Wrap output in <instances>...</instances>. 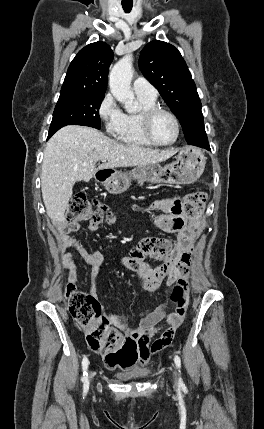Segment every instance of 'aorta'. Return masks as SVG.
Wrapping results in <instances>:
<instances>
[{
	"label": "aorta",
	"instance_id": "aorta-1",
	"mask_svg": "<svg viewBox=\"0 0 264 429\" xmlns=\"http://www.w3.org/2000/svg\"><path fill=\"white\" fill-rule=\"evenodd\" d=\"M133 58L131 54L125 55L112 68L109 76L110 91L113 96L124 105L128 112L136 108L134 93L131 90L133 76Z\"/></svg>",
	"mask_w": 264,
	"mask_h": 429
}]
</instances>
